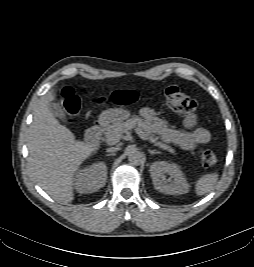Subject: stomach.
Returning a JSON list of instances; mask_svg holds the SVG:
<instances>
[{"label": "stomach", "instance_id": "obj_1", "mask_svg": "<svg viewBox=\"0 0 254 267\" xmlns=\"http://www.w3.org/2000/svg\"><path fill=\"white\" fill-rule=\"evenodd\" d=\"M130 117V112L122 108H110L103 111L99 116V123L108 126L114 123H121Z\"/></svg>", "mask_w": 254, "mask_h": 267}]
</instances>
